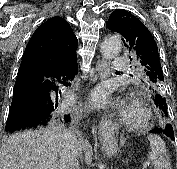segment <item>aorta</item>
<instances>
[{"mask_svg": "<svg viewBox=\"0 0 177 169\" xmlns=\"http://www.w3.org/2000/svg\"><path fill=\"white\" fill-rule=\"evenodd\" d=\"M121 50V40L116 36L107 37L101 44V54L106 59L115 58Z\"/></svg>", "mask_w": 177, "mask_h": 169, "instance_id": "aorta-1", "label": "aorta"}]
</instances>
